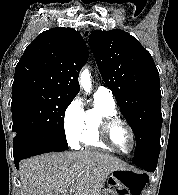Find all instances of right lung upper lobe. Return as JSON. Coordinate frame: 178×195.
<instances>
[{
  "instance_id": "obj_1",
  "label": "right lung upper lobe",
  "mask_w": 178,
  "mask_h": 195,
  "mask_svg": "<svg viewBox=\"0 0 178 195\" xmlns=\"http://www.w3.org/2000/svg\"><path fill=\"white\" fill-rule=\"evenodd\" d=\"M88 60V48L73 28L42 32L24 51L14 75L12 96L46 93L74 98L78 76Z\"/></svg>"
}]
</instances>
